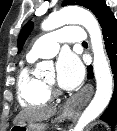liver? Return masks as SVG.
<instances>
[{
  "label": "liver",
  "instance_id": "liver-1",
  "mask_svg": "<svg viewBox=\"0 0 117 131\" xmlns=\"http://www.w3.org/2000/svg\"><path fill=\"white\" fill-rule=\"evenodd\" d=\"M56 113V107L28 108L22 110L14 119V124L24 122H41L49 119Z\"/></svg>",
  "mask_w": 117,
  "mask_h": 131
}]
</instances>
